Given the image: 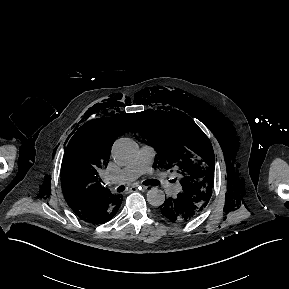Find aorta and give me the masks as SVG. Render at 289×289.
Instances as JSON below:
<instances>
[{
  "label": "aorta",
  "instance_id": "762f6f07",
  "mask_svg": "<svg viewBox=\"0 0 289 289\" xmlns=\"http://www.w3.org/2000/svg\"><path fill=\"white\" fill-rule=\"evenodd\" d=\"M138 145L129 138H120L112 146V157L120 164L132 162L138 155ZM147 201L154 207L161 206L165 201L164 191L156 187L147 192Z\"/></svg>",
  "mask_w": 289,
  "mask_h": 289
}]
</instances>
